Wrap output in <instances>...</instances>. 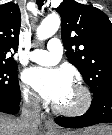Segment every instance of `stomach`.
<instances>
[{
    "label": "stomach",
    "instance_id": "1",
    "mask_svg": "<svg viewBox=\"0 0 112 135\" xmlns=\"http://www.w3.org/2000/svg\"><path fill=\"white\" fill-rule=\"evenodd\" d=\"M60 135H112V126L100 125L86 129L83 132L65 131Z\"/></svg>",
    "mask_w": 112,
    "mask_h": 135
}]
</instances>
